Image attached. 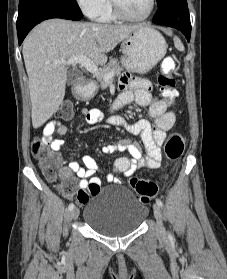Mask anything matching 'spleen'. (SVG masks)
Segmentation results:
<instances>
[{"instance_id":"obj_1","label":"spleen","mask_w":227,"mask_h":279,"mask_svg":"<svg viewBox=\"0 0 227 279\" xmlns=\"http://www.w3.org/2000/svg\"><path fill=\"white\" fill-rule=\"evenodd\" d=\"M174 45L177 50L184 51V45L182 44L181 40L178 37L174 38Z\"/></svg>"}]
</instances>
